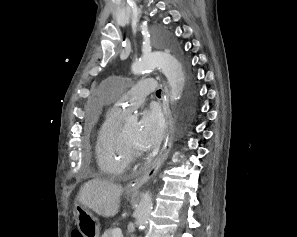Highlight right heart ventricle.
Listing matches in <instances>:
<instances>
[{"instance_id":"right-heart-ventricle-1","label":"right heart ventricle","mask_w":297,"mask_h":237,"mask_svg":"<svg viewBox=\"0 0 297 237\" xmlns=\"http://www.w3.org/2000/svg\"><path fill=\"white\" fill-rule=\"evenodd\" d=\"M121 116L119 112H108L97 132L96 161L100 171L107 176L123 174L132 161L119 137Z\"/></svg>"}]
</instances>
